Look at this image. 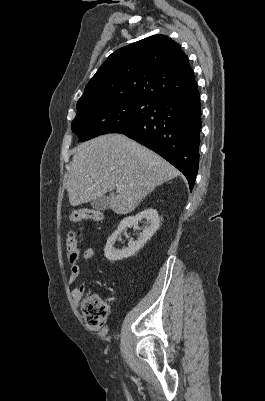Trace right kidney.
I'll return each mask as SVG.
<instances>
[{
	"label": "right kidney",
	"mask_w": 265,
	"mask_h": 401,
	"mask_svg": "<svg viewBox=\"0 0 265 401\" xmlns=\"http://www.w3.org/2000/svg\"><path fill=\"white\" fill-rule=\"evenodd\" d=\"M142 219H146L149 221L150 225L147 229H143L142 233H140V237L138 241H130L129 247H125V249H114L113 245L118 237L121 235L122 231H124L125 227H133V225H138L139 221ZM160 217L155 211V209H145V211H141L139 215L136 217H126L121 221L117 231L112 233L111 237H109L105 251V257L108 261H121V259H128V257H132L134 253H137L141 247H144L145 243L153 237L154 233H156L157 229H159Z\"/></svg>",
	"instance_id": "1"
}]
</instances>
